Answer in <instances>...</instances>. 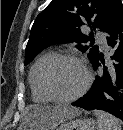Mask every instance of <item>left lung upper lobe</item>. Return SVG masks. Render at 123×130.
I'll return each mask as SVG.
<instances>
[{"label":"left lung upper lobe","mask_w":123,"mask_h":130,"mask_svg":"<svg viewBox=\"0 0 123 130\" xmlns=\"http://www.w3.org/2000/svg\"><path fill=\"white\" fill-rule=\"evenodd\" d=\"M122 11L120 0H52L32 26L25 65L43 48L55 43H76L80 51H87L89 46L82 43L92 40L93 34H82L80 27L89 24L92 30L100 29L109 34ZM98 54V47L92 46L87 56L92 62Z\"/></svg>","instance_id":"1"}]
</instances>
